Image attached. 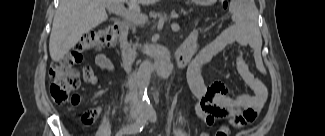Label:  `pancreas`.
Segmentation results:
<instances>
[{
	"label": "pancreas",
	"mask_w": 325,
	"mask_h": 136,
	"mask_svg": "<svg viewBox=\"0 0 325 136\" xmlns=\"http://www.w3.org/2000/svg\"><path fill=\"white\" fill-rule=\"evenodd\" d=\"M172 16H183L180 19L181 24H188L190 22V19H196L197 14L196 12H190L188 5H176L174 8L169 12ZM132 29L135 27H132V24L130 25ZM135 33L139 32L138 28H135ZM137 37L134 38V40H139L138 34Z\"/></svg>",
	"instance_id": "cf45deb5"
}]
</instances>
